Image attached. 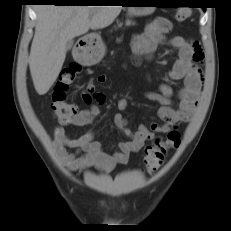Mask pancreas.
<instances>
[{
  "label": "pancreas",
  "instance_id": "obj_1",
  "mask_svg": "<svg viewBox=\"0 0 231 231\" xmlns=\"http://www.w3.org/2000/svg\"><path fill=\"white\" fill-rule=\"evenodd\" d=\"M122 25H123L122 23H119V24H118V28L122 27ZM131 25H135V23H134L133 21L127 19V20L125 21V26H131Z\"/></svg>",
  "mask_w": 231,
  "mask_h": 231
}]
</instances>
